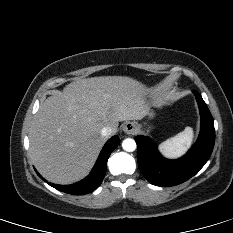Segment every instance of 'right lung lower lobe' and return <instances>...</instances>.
Returning <instances> with one entry per match:
<instances>
[{
	"label": "right lung lower lobe",
	"mask_w": 233,
	"mask_h": 233,
	"mask_svg": "<svg viewBox=\"0 0 233 233\" xmlns=\"http://www.w3.org/2000/svg\"><path fill=\"white\" fill-rule=\"evenodd\" d=\"M120 140L117 136H113L103 147L97 162L92 169L91 173L82 181L71 184V185H56L47 182L43 179L40 174L36 171L40 178L46 181L49 185L53 186L59 191L73 194V195H83L94 191L102 182L106 167H107V160L111 154V152L116 148L119 144Z\"/></svg>",
	"instance_id": "98d812e1"
}]
</instances>
